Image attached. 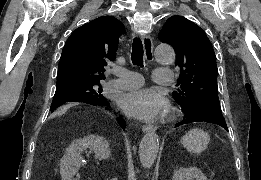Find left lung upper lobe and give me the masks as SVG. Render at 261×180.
<instances>
[{"mask_svg": "<svg viewBox=\"0 0 261 180\" xmlns=\"http://www.w3.org/2000/svg\"><path fill=\"white\" fill-rule=\"evenodd\" d=\"M163 43L176 52L180 90L173 96L184 109L212 108L221 111L217 87L216 56L205 32L182 16L170 17L159 33Z\"/></svg>", "mask_w": 261, "mask_h": 180, "instance_id": "5c2ea615", "label": "left lung upper lobe"}]
</instances>
